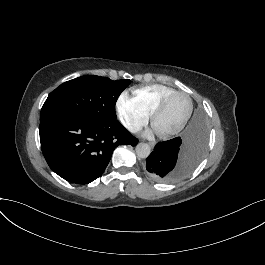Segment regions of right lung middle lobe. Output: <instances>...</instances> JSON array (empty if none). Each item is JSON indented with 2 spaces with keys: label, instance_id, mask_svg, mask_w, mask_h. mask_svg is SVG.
<instances>
[{
  "label": "right lung middle lobe",
  "instance_id": "dd1d6c3e",
  "mask_svg": "<svg viewBox=\"0 0 265 265\" xmlns=\"http://www.w3.org/2000/svg\"><path fill=\"white\" fill-rule=\"evenodd\" d=\"M129 79L113 81L85 75L61 84L46 99L40 122L63 114L81 115L97 121H115V104Z\"/></svg>",
  "mask_w": 265,
  "mask_h": 265
}]
</instances>
